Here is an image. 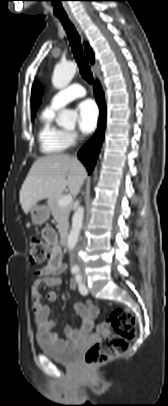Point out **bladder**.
I'll return each mask as SVG.
<instances>
[{"label": "bladder", "instance_id": "31cf9c89", "mask_svg": "<svg viewBox=\"0 0 168 406\" xmlns=\"http://www.w3.org/2000/svg\"><path fill=\"white\" fill-rule=\"evenodd\" d=\"M37 343L46 356L64 365L75 364L80 356L81 348L79 346L58 347L39 335L37 336Z\"/></svg>", "mask_w": 168, "mask_h": 406}]
</instances>
